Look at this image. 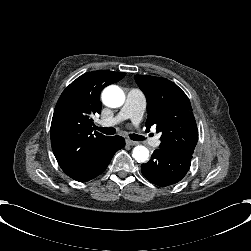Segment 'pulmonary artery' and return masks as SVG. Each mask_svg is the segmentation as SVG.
<instances>
[{
	"label": "pulmonary artery",
	"instance_id": "1",
	"mask_svg": "<svg viewBox=\"0 0 251 251\" xmlns=\"http://www.w3.org/2000/svg\"><path fill=\"white\" fill-rule=\"evenodd\" d=\"M146 109V99L143 94L137 90L131 89L127 91L125 102L117 115L108 119H101L98 124L102 127H110L119 124L120 122L130 119L133 124L138 125L143 119ZM148 143L152 147H158L160 140L151 137Z\"/></svg>",
	"mask_w": 251,
	"mask_h": 251
}]
</instances>
